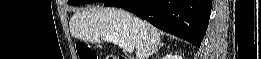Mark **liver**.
Returning a JSON list of instances; mask_svg holds the SVG:
<instances>
[{
    "label": "liver",
    "instance_id": "6515ba94",
    "mask_svg": "<svg viewBox=\"0 0 261 59\" xmlns=\"http://www.w3.org/2000/svg\"><path fill=\"white\" fill-rule=\"evenodd\" d=\"M142 21V20H141ZM134 17L118 8L91 7L77 11L70 19L69 27L74 38L101 43L106 36H114L131 44L136 59H148L161 44L160 31L143 22V33L133 27Z\"/></svg>",
    "mask_w": 261,
    "mask_h": 59
}]
</instances>
